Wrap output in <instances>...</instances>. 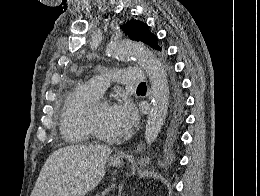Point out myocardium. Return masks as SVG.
I'll list each match as a JSON object with an SVG mask.
<instances>
[{"label":"myocardium","instance_id":"obj_1","mask_svg":"<svg viewBox=\"0 0 260 196\" xmlns=\"http://www.w3.org/2000/svg\"><path fill=\"white\" fill-rule=\"evenodd\" d=\"M102 105H109V102L107 100L101 99L95 102L89 111L87 120H86V126L88 129L93 133V135L100 137L108 142H111L116 139V137L113 134H110L104 130H102L96 123L95 114L97 110Z\"/></svg>","mask_w":260,"mask_h":196}]
</instances>
